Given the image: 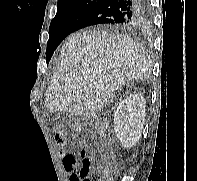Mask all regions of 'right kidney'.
Here are the masks:
<instances>
[{"label": "right kidney", "instance_id": "obj_1", "mask_svg": "<svg viewBox=\"0 0 197 181\" xmlns=\"http://www.w3.org/2000/svg\"><path fill=\"white\" fill-rule=\"evenodd\" d=\"M145 98L130 95L122 100L114 115V130L123 147H133L140 139L145 121Z\"/></svg>", "mask_w": 197, "mask_h": 181}]
</instances>
